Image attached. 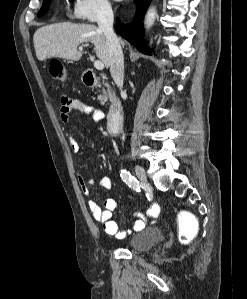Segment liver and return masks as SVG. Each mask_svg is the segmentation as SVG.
Segmentation results:
<instances>
[{
	"instance_id": "obj_1",
	"label": "liver",
	"mask_w": 247,
	"mask_h": 299,
	"mask_svg": "<svg viewBox=\"0 0 247 299\" xmlns=\"http://www.w3.org/2000/svg\"><path fill=\"white\" fill-rule=\"evenodd\" d=\"M33 42L39 61L53 57L79 61L83 51L78 50V46L91 42L96 56L106 68L110 66L107 39L93 24L64 22L46 25L35 32Z\"/></svg>"
}]
</instances>
